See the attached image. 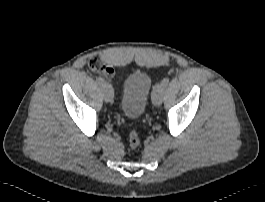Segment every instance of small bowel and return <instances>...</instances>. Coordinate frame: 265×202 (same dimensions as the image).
Listing matches in <instances>:
<instances>
[{
    "mask_svg": "<svg viewBox=\"0 0 265 202\" xmlns=\"http://www.w3.org/2000/svg\"><path fill=\"white\" fill-rule=\"evenodd\" d=\"M88 66L98 72L106 76L107 78L113 79L116 77V71L111 65H100L96 57H90L88 59Z\"/></svg>",
    "mask_w": 265,
    "mask_h": 202,
    "instance_id": "1",
    "label": "small bowel"
}]
</instances>
